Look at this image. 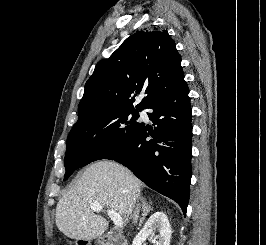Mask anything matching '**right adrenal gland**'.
Wrapping results in <instances>:
<instances>
[{
	"label": "right adrenal gland",
	"mask_w": 266,
	"mask_h": 245,
	"mask_svg": "<svg viewBox=\"0 0 266 245\" xmlns=\"http://www.w3.org/2000/svg\"><path fill=\"white\" fill-rule=\"evenodd\" d=\"M142 207H143V213H142V217L139 221L138 227H142L143 221L147 217V213H150V211H153V207H152L151 203H147V201H145V199H142Z\"/></svg>",
	"instance_id": "2a0ac1e0"
}]
</instances>
